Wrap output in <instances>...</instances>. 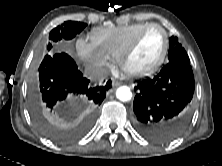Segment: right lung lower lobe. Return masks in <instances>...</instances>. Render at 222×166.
Here are the masks:
<instances>
[{"label":"right lung lower lobe","instance_id":"obj_1","mask_svg":"<svg viewBox=\"0 0 222 166\" xmlns=\"http://www.w3.org/2000/svg\"><path fill=\"white\" fill-rule=\"evenodd\" d=\"M38 73L39 84L33 92L31 106L42 108L51 116L79 97H86L95 105H100L111 87L110 80L103 86L91 87L74 60L63 52L47 54Z\"/></svg>","mask_w":222,"mask_h":166}]
</instances>
